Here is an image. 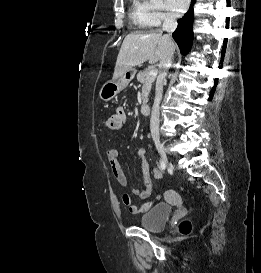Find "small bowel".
Returning a JSON list of instances; mask_svg holds the SVG:
<instances>
[{
    "label": "small bowel",
    "instance_id": "obj_1",
    "mask_svg": "<svg viewBox=\"0 0 261 273\" xmlns=\"http://www.w3.org/2000/svg\"><path fill=\"white\" fill-rule=\"evenodd\" d=\"M115 116H118L121 120V129L123 125L127 122L128 116L126 110L123 107H118L115 111ZM120 129V130H121ZM137 155L141 161V172L143 177V187L141 190L137 188H130L126 193L122 195V202L128 207L132 214H139L146 212L153 204V200H148L152 192V182L150 176V168L146 159V149L140 147L137 151ZM119 151L115 148H111L107 151V159L111 166V170L116 182L120 186H125L127 183V178L125 172L119 162ZM156 178L160 177V173L156 171L154 173ZM132 196H139L144 203L141 206H137L132 201Z\"/></svg>",
    "mask_w": 261,
    "mask_h": 273
}]
</instances>
